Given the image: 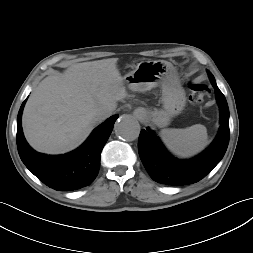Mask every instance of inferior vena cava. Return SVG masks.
Listing matches in <instances>:
<instances>
[{
    "label": "inferior vena cava",
    "mask_w": 253,
    "mask_h": 253,
    "mask_svg": "<svg viewBox=\"0 0 253 253\" xmlns=\"http://www.w3.org/2000/svg\"><path fill=\"white\" fill-rule=\"evenodd\" d=\"M113 110L110 108L100 109L94 113L96 121H103L112 115Z\"/></svg>",
    "instance_id": "obj_1"
}]
</instances>
